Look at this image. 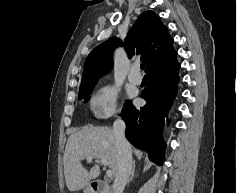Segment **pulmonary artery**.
I'll use <instances>...</instances> for the list:
<instances>
[{
  "label": "pulmonary artery",
  "mask_w": 237,
  "mask_h": 193,
  "mask_svg": "<svg viewBox=\"0 0 237 193\" xmlns=\"http://www.w3.org/2000/svg\"><path fill=\"white\" fill-rule=\"evenodd\" d=\"M138 71H139V66L133 65L131 68V72L128 75V80L135 85H138L142 82V76L139 74Z\"/></svg>",
  "instance_id": "pulmonary-artery-1"
}]
</instances>
